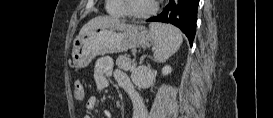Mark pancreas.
<instances>
[{
	"label": "pancreas",
	"instance_id": "pancreas-1",
	"mask_svg": "<svg viewBox=\"0 0 273 118\" xmlns=\"http://www.w3.org/2000/svg\"><path fill=\"white\" fill-rule=\"evenodd\" d=\"M116 65L125 71H129L133 69V65H131V59L126 54L118 56L116 60Z\"/></svg>",
	"mask_w": 273,
	"mask_h": 118
}]
</instances>
